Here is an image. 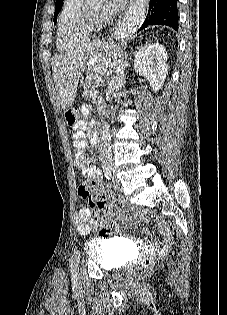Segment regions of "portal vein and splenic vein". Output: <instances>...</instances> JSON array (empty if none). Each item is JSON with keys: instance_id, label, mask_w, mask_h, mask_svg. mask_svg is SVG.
<instances>
[{"instance_id": "1", "label": "portal vein and splenic vein", "mask_w": 227, "mask_h": 315, "mask_svg": "<svg viewBox=\"0 0 227 315\" xmlns=\"http://www.w3.org/2000/svg\"><path fill=\"white\" fill-rule=\"evenodd\" d=\"M97 93H98V91H97V90H93V91L91 92V95H92V96H96V95H97Z\"/></svg>"}]
</instances>
